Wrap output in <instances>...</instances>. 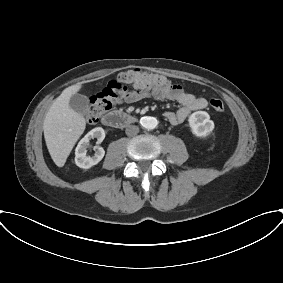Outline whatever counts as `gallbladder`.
Listing matches in <instances>:
<instances>
[{"label":"gallbladder","mask_w":283,"mask_h":283,"mask_svg":"<svg viewBox=\"0 0 283 283\" xmlns=\"http://www.w3.org/2000/svg\"><path fill=\"white\" fill-rule=\"evenodd\" d=\"M69 106L77 113L86 115L88 112V99L81 94H73L69 100Z\"/></svg>","instance_id":"gallbladder-1"}]
</instances>
